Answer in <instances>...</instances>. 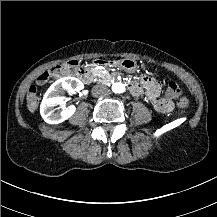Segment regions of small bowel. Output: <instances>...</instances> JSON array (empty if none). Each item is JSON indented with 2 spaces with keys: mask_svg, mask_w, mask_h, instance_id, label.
Here are the masks:
<instances>
[{
  "mask_svg": "<svg viewBox=\"0 0 217 217\" xmlns=\"http://www.w3.org/2000/svg\"><path fill=\"white\" fill-rule=\"evenodd\" d=\"M139 84L141 87H145L147 90V98L148 102L152 105V107L159 113L165 114L169 113L173 109V103L170 96H166L163 98H158V92L160 90L159 82L155 78L151 77H142L139 80ZM141 87L131 94L133 96H139L142 94L143 90Z\"/></svg>",
  "mask_w": 217,
  "mask_h": 217,
  "instance_id": "small-bowel-1",
  "label": "small bowel"
}]
</instances>
